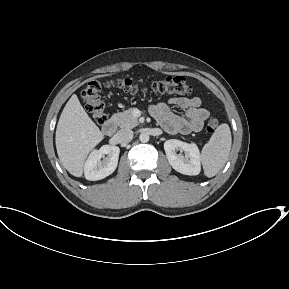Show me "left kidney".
Returning <instances> with one entry per match:
<instances>
[{"instance_id":"1","label":"left kidney","mask_w":289,"mask_h":289,"mask_svg":"<svg viewBox=\"0 0 289 289\" xmlns=\"http://www.w3.org/2000/svg\"><path fill=\"white\" fill-rule=\"evenodd\" d=\"M164 150L169 164L174 170L185 175H198L201 171V156L195 143H186L169 139L164 143ZM180 150L184 152L177 153Z\"/></svg>"}]
</instances>
